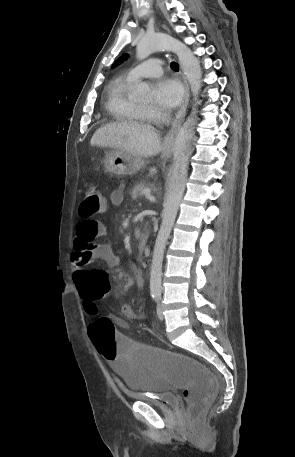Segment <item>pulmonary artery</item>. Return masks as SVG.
Instances as JSON below:
<instances>
[{"label":"pulmonary artery","mask_w":295,"mask_h":457,"mask_svg":"<svg viewBox=\"0 0 295 457\" xmlns=\"http://www.w3.org/2000/svg\"><path fill=\"white\" fill-rule=\"evenodd\" d=\"M162 73V61L156 58L149 59L139 64L128 72V77L137 80L145 77H157Z\"/></svg>","instance_id":"obj_1"}]
</instances>
